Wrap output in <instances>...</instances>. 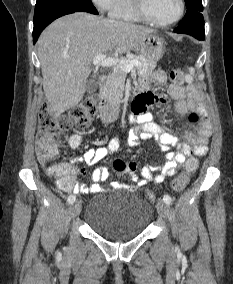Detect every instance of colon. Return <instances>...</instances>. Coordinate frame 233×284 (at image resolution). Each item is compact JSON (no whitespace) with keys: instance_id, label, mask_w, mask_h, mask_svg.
<instances>
[{"instance_id":"5ec220e1","label":"colon","mask_w":233,"mask_h":284,"mask_svg":"<svg viewBox=\"0 0 233 284\" xmlns=\"http://www.w3.org/2000/svg\"><path fill=\"white\" fill-rule=\"evenodd\" d=\"M171 81L176 84H182L184 74L180 69H173L170 72ZM98 107V101L95 97L85 98L79 105L69 110L66 114L55 116L49 104H43L39 113L38 135L36 140V155L43 164L52 162L58 154V136L72 128L87 127L93 120ZM201 120V114L193 111L189 115V121L198 123ZM198 160L190 157L186 163L184 171L179 174L172 182V189L180 192L188 185L190 178L198 168ZM113 167L117 172L124 173L128 164L122 159H115ZM65 189L71 187L70 181L63 183ZM146 200L152 202L155 200V194L148 191Z\"/></svg>"}]
</instances>
